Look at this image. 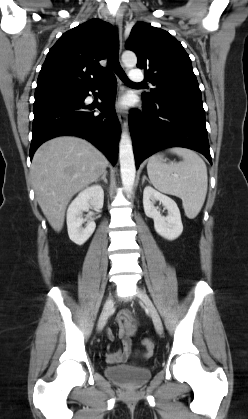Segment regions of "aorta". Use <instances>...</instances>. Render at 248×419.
I'll return each mask as SVG.
<instances>
[{
    "label": "aorta",
    "instance_id": "obj_1",
    "mask_svg": "<svg viewBox=\"0 0 248 419\" xmlns=\"http://www.w3.org/2000/svg\"><path fill=\"white\" fill-rule=\"evenodd\" d=\"M123 65L127 68H132L137 63L135 53L126 51L122 54ZM119 160L122 184L129 196L132 193L135 181V160L130 136L126 130L122 131L119 142Z\"/></svg>",
    "mask_w": 248,
    "mask_h": 419
}]
</instances>
